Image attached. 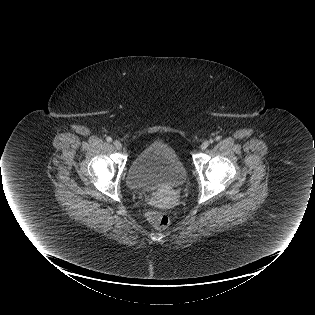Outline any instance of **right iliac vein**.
<instances>
[{
	"label": "right iliac vein",
	"instance_id": "1",
	"mask_svg": "<svg viewBox=\"0 0 315 315\" xmlns=\"http://www.w3.org/2000/svg\"><path fill=\"white\" fill-rule=\"evenodd\" d=\"M113 145H114L118 150L122 149V144H121L119 141H117V140L113 142Z\"/></svg>",
	"mask_w": 315,
	"mask_h": 315
}]
</instances>
